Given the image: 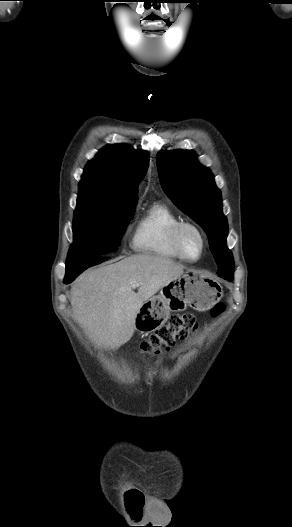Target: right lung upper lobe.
Instances as JSON below:
<instances>
[{"mask_svg":"<svg viewBox=\"0 0 292 527\" xmlns=\"http://www.w3.org/2000/svg\"><path fill=\"white\" fill-rule=\"evenodd\" d=\"M149 155L126 144H112L99 151L85 167L80 193H94L107 201H137L138 184L147 172Z\"/></svg>","mask_w":292,"mask_h":527,"instance_id":"cb5924a9","label":"right lung upper lobe"}]
</instances>
